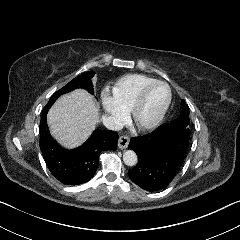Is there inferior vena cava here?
<instances>
[{"mask_svg":"<svg viewBox=\"0 0 240 240\" xmlns=\"http://www.w3.org/2000/svg\"><path fill=\"white\" fill-rule=\"evenodd\" d=\"M100 121L110 130H121L123 128L121 122L114 116H102Z\"/></svg>","mask_w":240,"mask_h":240,"instance_id":"inferior-vena-cava-1","label":"inferior vena cava"}]
</instances>
